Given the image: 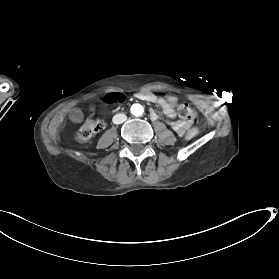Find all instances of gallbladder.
Returning <instances> with one entry per match:
<instances>
[{
	"label": "gallbladder",
	"instance_id": "gallbladder-1",
	"mask_svg": "<svg viewBox=\"0 0 279 279\" xmlns=\"http://www.w3.org/2000/svg\"><path fill=\"white\" fill-rule=\"evenodd\" d=\"M71 119H72L73 122L78 123V122L81 121L82 116H81L80 113L75 112V113L72 114Z\"/></svg>",
	"mask_w": 279,
	"mask_h": 279
}]
</instances>
